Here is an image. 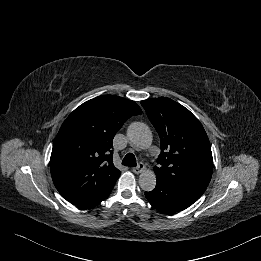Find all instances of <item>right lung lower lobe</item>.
Here are the masks:
<instances>
[{
    "label": "right lung lower lobe",
    "mask_w": 261,
    "mask_h": 261,
    "mask_svg": "<svg viewBox=\"0 0 261 261\" xmlns=\"http://www.w3.org/2000/svg\"><path fill=\"white\" fill-rule=\"evenodd\" d=\"M113 187L108 189L105 193H103L99 197H96V198H94V199H92L90 201H87V202H84V203H80V204H77V205L80 206V207H84V208H90V207L96 206L97 204H99L101 201H103L104 199H106L109 196V194L111 193Z\"/></svg>",
    "instance_id": "obj_1"
}]
</instances>
